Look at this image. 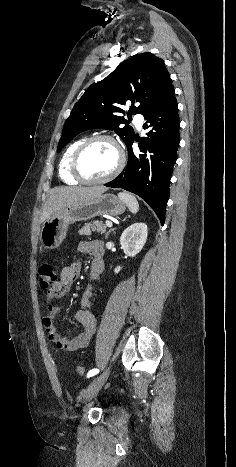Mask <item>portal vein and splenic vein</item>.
Listing matches in <instances>:
<instances>
[{"mask_svg":"<svg viewBox=\"0 0 236 467\" xmlns=\"http://www.w3.org/2000/svg\"><path fill=\"white\" fill-rule=\"evenodd\" d=\"M106 226L111 228L112 227V222L111 221H106Z\"/></svg>","mask_w":236,"mask_h":467,"instance_id":"portal-vein-and-splenic-vein-1","label":"portal vein and splenic vein"}]
</instances>
